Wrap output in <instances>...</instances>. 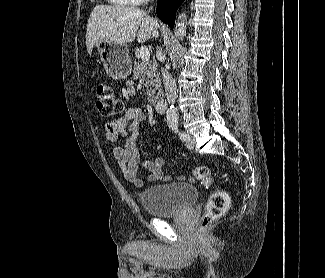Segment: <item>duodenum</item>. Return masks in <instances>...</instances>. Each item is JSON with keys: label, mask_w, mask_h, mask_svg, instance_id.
<instances>
[{"label": "duodenum", "mask_w": 325, "mask_h": 278, "mask_svg": "<svg viewBox=\"0 0 325 278\" xmlns=\"http://www.w3.org/2000/svg\"><path fill=\"white\" fill-rule=\"evenodd\" d=\"M154 108L158 113H164L166 110V101L163 98L154 101Z\"/></svg>", "instance_id": "410a0bca"}]
</instances>
